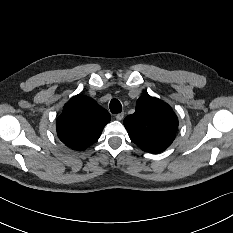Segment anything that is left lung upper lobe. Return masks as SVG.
Wrapping results in <instances>:
<instances>
[{
  "label": "left lung upper lobe",
  "instance_id": "5c2ea615",
  "mask_svg": "<svg viewBox=\"0 0 233 233\" xmlns=\"http://www.w3.org/2000/svg\"><path fill=\"white\" fill-rule=\"evenodd\" d=\"M130 139L143 151L159 153L174 140L178 118L165 102L147 94L136 103V111L124 119Z\"/></svg>",
  "mask_w": 233,
  "mask_h": 233
}]
</instances>
